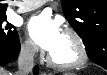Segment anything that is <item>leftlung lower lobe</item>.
I'll use <instances>...</instances> for the list:
<instances>
[{
	"label": "left lung lower lobe",
	"mask_w": 107,
	"mask_h": 75,
	"mask_svg": "<svg viewBox=\"0 0 107 75\" xmlns=\"http://www.w3.org/2000/svg\"><path fill=\"white\" fill-rule=\"evenodd\" d=\"M89 58L96 64L107 69V45L103 43L102 47L96 48V50L89 55Z\"/></svg>",
	"instance_id": "1"
}]
</instances>
